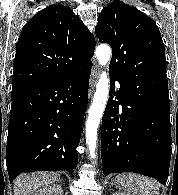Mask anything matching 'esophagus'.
Here are the masks:
<instances>
[{
    "instance_id": "1",
    "label": "esophagus",
    "mask_w": 178,
    "mask_h": 195,
    "mask_svg": "<svg viewBox=\"0 0 178 195\" xmlns=\"http://www.w3.org/2000/svg\"><path fill=\"white\" fill-rule=\"evenodd\" d=\"M99 74H100V67L98 64H95L91 70L89 97L92 96L93 89H94V86L97 82Z\"/></svg>"
}]
</instances>
